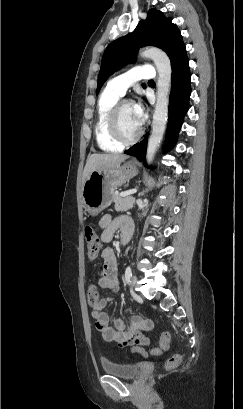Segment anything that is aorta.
<instances>
[{
	"label": "aorta",
	"instance_id": "1",
	"mask_svg": "<svg viewBox=\"0 0 243 409\" xmlns=\"http://www.w3.org/2000/svg\"><path fill=\"white\" fill-rule=\"evenodd\" d=\"M143 58L152 59L157 72V100L155 104L152 132L148 140L146 159L151 163L159 147L168 120L169 95L171 89V62L167 54L155 47L145 48L139 54Z\"/></svg>",
	"mask_w": 243,
	"mask_h": 409
}]
</instances>
